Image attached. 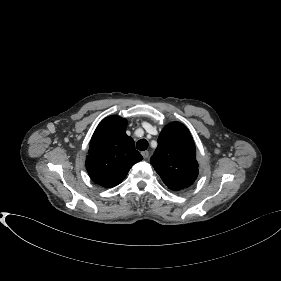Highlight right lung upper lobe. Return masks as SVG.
<instances>
[{
  "mask_svg": "<svg viewBox=\"0 0 281 281\" xmlns=\"http://www.w3.org/2000/svg\"><path fill=\"white\" fill-rule=\"evenodd\" d=\"M127 121L119 116L103 119L96 128L89 146L86 168L97 184L111 188L126 177L130 168L143 159L126 134Z\"/></svg>",
  "mask_w": 281,
  "mask_h": 281,
  "instance_id": "1",
  "label": "right lung upper lobe"
}]
</instances>
